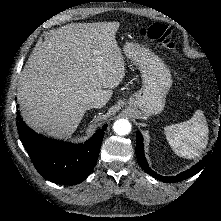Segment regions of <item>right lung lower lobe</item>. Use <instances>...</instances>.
Returning a JSON list of instances; mask_svg holds the SVG:
<instances>
[{
    "label": "right lung lower lobe",
    "instance_id": "1",
    "mask_svg": "<svg viewBox=\"0 0 221 221\" xmlns=\"http://www.w3.org/2000/svg\"><path fill=\"white\" fill-rule=\"evenodd\" d=\"M16 119L23 146L42 177L67 185L78 184L88 177L97 162L107 124L85 143L73 144L35 133L19 112Z\"/></svg>",
    "mask_w": 221,
    "mask_h": 221
}]
</instances>
